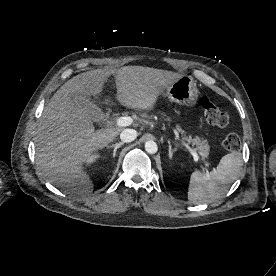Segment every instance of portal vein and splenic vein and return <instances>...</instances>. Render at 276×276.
I'll use <instances>...</instances> for the list:
<instances>
[{"instance_id": "18ae733b", "label": "portal vein and splenic vein", "mask_w": 276, "mask_h": 276, "mask_svg": "<svg viewBox=\"0 0 276 276\" xmlns=\"http://www.w3.org/2000/svg\"><path fill=\"white\" fill-rule=\"evenodd\" d=\"M133 122V119L129 116H124V117H119L117 120H116V124L117 126L119 127H126V126H129L131 125ZM185 145V147L190 151V153L192 154L193 158L195 161H201L204 165L205 163L200 160L198 154L196 153L195 150H193L192 148H190L186 143H183Z\"/></svg>"}]
</instances>
